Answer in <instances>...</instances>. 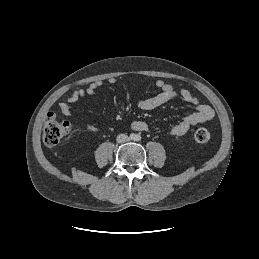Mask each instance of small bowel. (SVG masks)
<instances>
[{"instance_id":"1","label":"small bowel","mask_w":259,"mask_h":259,"mask_svg":"<svg viewBox=\"0 0 259 259\" xmlns=\"http://www.w3.org/2000/svg\"><path fill=\"white\" fill-rule=\"evenodd\" d=\"M115 78H109V84H115ZM102 86L101 81H95L89 84L85 89H76L74 90L65 101L59 104V108L64 115L70 114V106L73 103H76L79 100H82L86 97L94 95L95 91ZM156 88L159 90L158 93L150 95L144 98H141L137 105L141 110L150 111L154 110L165 103L172 101L174 99H181L184 102L193 105L196 107V111L188 114L180 122L173 125L170 128V134L175 137H180L186 134L190 128L195 125L207 122L214 117L213 109L206 103H201L197 97H195L189 90L181 89L179 91L175 90L174 87L159 79L155 82ZM87 130L95 131L94 126L88 125ZM131 128L136 131H145L148 129V125L144 121H133L131 123Z\"/></svg>"}]
</instances>
